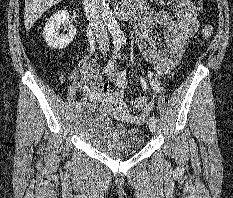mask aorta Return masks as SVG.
I'll return each mask as SVG.
<instances>
[{"mask_svg":"<svg viewBox=\"0 0 233 198\" xmlns=\"http://www.w3.org/2000/svg\"><path fill=\"white\" fill-rule=\"evenodd\" d=\"M103 5V15L105 19V23L108 27V30L114 40V42H122L125 40V36L121 31L118 22L116 21L115 17L112 14L106 0H102Z\"/></svg>","mask_w":233,"mask_h":198,"instance_id":"obj_1","label":"aorta"}]
</instances>
